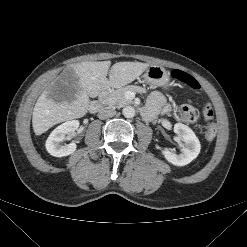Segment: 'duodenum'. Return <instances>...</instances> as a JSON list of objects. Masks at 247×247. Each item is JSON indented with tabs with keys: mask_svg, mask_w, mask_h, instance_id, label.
<instances>
[{
	"mask_svg": "<svg viewBox=\"0 0 247 247\" xmlns=\"http://www.w3.org/2000/svg\"><path fill=\"white\" fill-rule=\"evenodd\" d=\"M111 90H112L111 85H109V84L105 85L103 90L100 92L98 99L94 100L89 105V111L91 113H96L103 107V103L106 100V98H107V96Z\"/></svg>",
	"mask_w": 247,
	"mask_h": 247,
	"instance_id": "duodenum-1",
	"label": "duodenum"
}]
</instances>
